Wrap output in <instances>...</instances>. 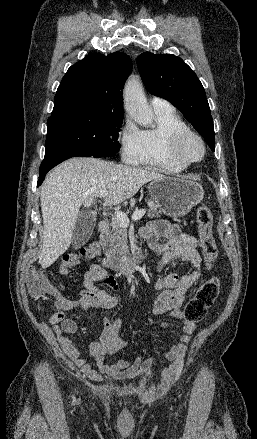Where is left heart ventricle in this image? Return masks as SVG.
<instances>
[{"label":"left heart ventricle","instance_id":"obj_1","mask_svg":"<svg viewBox=\"0 0 257 439\" xmlns=\"http://www.w3.org/2000/svg\"><path fill=\"white\" fill-rule=\"evenodd\" d=\"M183 153L190 159H198L201 156L202 149L197 140L189 139L183 146Z\"/></svg>","mask_w":257,"mask_h":439}]
</instances>
